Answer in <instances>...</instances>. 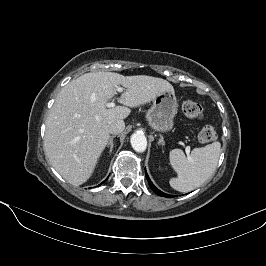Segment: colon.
Here are the masks:
<instances>
[{"instance_id":"1","label":"colon","mask_w":266,"mask_h":266,"mask_svg":"<svg viewBox=\"0 0 266 266\" xmlns=\"http://www.w3.org/2000/svg\"><path fill=\"white\" fill-rule=\"evenodd\" d=\"M204 106L194 100H186L183 103V113L188 119H201L204 115ZM217 132L212 125H205L198 133V141L201 144H209L217 139Z\"/></svg>"}]
</instances>
